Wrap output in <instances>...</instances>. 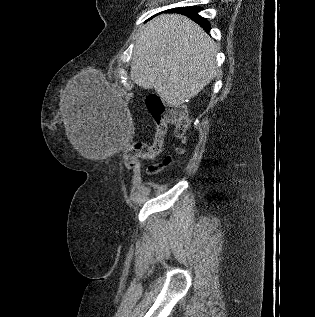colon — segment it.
I'll return each mask as SVG.
<instances>
[{"label":"colon","mask_w":315,"mask_h":317,"mask_svg":"<svg viewBox=\"0 0 315 317\" xmlns=\"http://www.w3.org/2000/svg\"><path fill=\"white\" fill-rule=\"evenodd\" d=\"M146 106L155 124V134L151 142H137L128 147L126 162L134 164L141 159H149L159 155L164 146L165 135L170 126L174 127L175 135L185 140L190 126V118L184 106H168L160 98L151 96L146 100ZM171 162V158L149 167L151 173L159 172Z\"/></svg>","instance_id":"obj_1"}]
</instances>
